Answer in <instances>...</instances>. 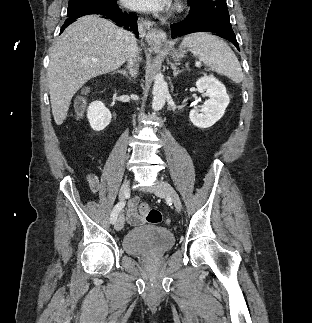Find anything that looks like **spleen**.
Listing matches in <instances>:
<instances>
[{
    "instance_id": "spleen-1",
    "label": "spleen",
    "mask_w": 312,
    "mask_h": 323,
    "mask_svg": "<svg viewBox=\"0 0 312 323\" xmlns=\"http://www.w3.org/2000/svg\"><path fill=\"white\" fill-rule=\"evenodd\" d=\"M181 46L188 48L193 56L213 68L217 74L231 78L235 84L242 82L241 66L233 50L218 36H212L210 32H195L185 36Z\"/></svg>"
}]
</instances>
